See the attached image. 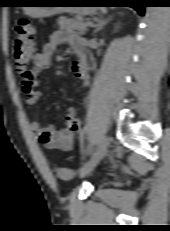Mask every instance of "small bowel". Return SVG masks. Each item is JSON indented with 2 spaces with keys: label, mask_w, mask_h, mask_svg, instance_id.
Wrapping results in <instances>:
<instances>
[{
  "label": "small bowel",
  "mask_w": 170,
  "mask_h": 231,
  "mask_svg": "<svg viewBox=\"0 0 170 231\" xmlns=\"http://www.w3.org/2000/svg\"><path fill=\"white\" fill-rule=\"evenodd\" d=\"M68 43L80 56L79 60L74 61L70 65V69L74 77L80 80L84 86L89 83V76L83 56V47L80 38L66 30H56L50 34L48 40L42 47V51L34 56V78L32 80L21 82V90L24 94L25 103L30 112H37V101L40 93L36 90L39 85L38 75L43 70L49 68L51 58L60 44ZM75 108H69L64 116L65 126L61 130H57L52 126H44L38 119L32 122L31 129L38 140L47 149H59L69 151L73 148L75 133L79 129L80 122L75 116Z\"/></svg>",
  "instance_id": "1"
}]
</instances>
